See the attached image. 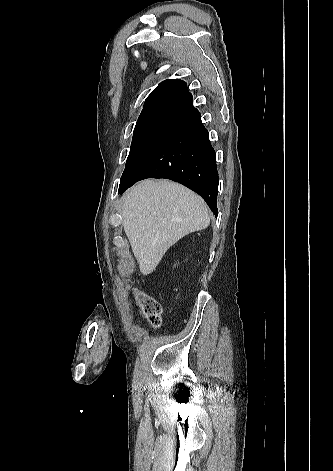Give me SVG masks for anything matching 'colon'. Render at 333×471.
<instances>
[{
    "mask_svg": "<svg viewBox=\"0 0 333 471\" xmlns=\"http://www.w3.org/2000/svg\"><path fill=\"white\" fill-rule=\"evenodd\" d=\"M136 300L142 315L147 319V321L153 327H159L162 313L160 304L152 297L143 293L136 294Z\"/></svg>",
    "mask_w": 333,
    "mask_h": 471,
    "instance_id": "5ec220e1",
    "label": "colon"
}]
</instances>
